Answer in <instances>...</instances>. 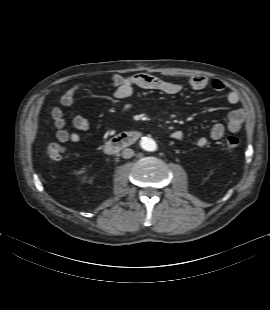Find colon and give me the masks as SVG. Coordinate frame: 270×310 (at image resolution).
<instances>
[{"label": "colon", "mask_w": 270, "mask_h": 310, "mask_svg": "<svg viewBox=\"0 0 270 310\" xmlns=\"http://www.w3.org/2000/svg\"><path fill=\"white\" fill-rule=\"evenodd\" d=\"M240 140L236 136H229L226 139V147L229 150H235L239 147ZM65 153V148L58 143H50L46 148V154L50 160L59 161Z\"/></svg>", "instance_id": "colon-1"}]
</instances>
